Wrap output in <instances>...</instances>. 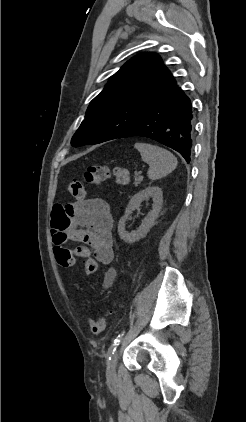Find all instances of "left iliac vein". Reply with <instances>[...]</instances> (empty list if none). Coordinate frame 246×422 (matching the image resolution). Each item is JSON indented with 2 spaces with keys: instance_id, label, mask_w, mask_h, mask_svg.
<instances>
[{
  "instance_id": "4c4485c4",
  "label": "left iliac vein",
  "mask_w": 246,
  "mask_h": 422,
  "mask_svg": "<svg viewBox=\"0 0 246 422\" xmlns=\"http://www.w3.org/2000/svg\"><path fill=\"white\" fill-rule=\"evenodd\" d=\"M117 360H118V352H115L111 359L107 363V380L109 382L115 380L116 378V366H117Z\"/></svg>"
}]
</instances>
